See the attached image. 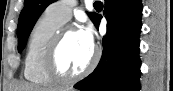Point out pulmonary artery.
I'll list each match as a JSON object with an SVG mask.
<instances>
[{
  "label": "pulmonary artery",
  "mask_w": 173,
  "mask_h": 91,
  "mask_svg": "<svg viewBox=\"0 0 173 91\" xmlns=\"http://www.w3.org/2000/svg\"><path fill=\"white\" fill-rule=\"evenodd\" d=\"M76 1H56L49 6V11L62 23L71 19Z\"/></svg>",
  "instance_id": "e3ab8cb5"
}]
</instances>
